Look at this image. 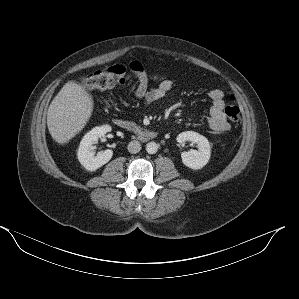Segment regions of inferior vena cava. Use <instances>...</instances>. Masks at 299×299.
I'll return each mask as SVG.
<instances>
[{
	"label": "inferior vena cava",
	"mask_w": 299,
	"mask_h": 299,
	"mask_svg": "<svg viewBox=\"0 0 299 299\" xmlns=\"http://www.w3.org/2000/svg\"><path fill=\"white\" fill-rule=\"evenodd\" d=\"M141 150V144L137 140H132L128 144V151L132 154H136Z\"/></svg>",
	"instance_id": "inferior-vena-cava-1"
}]
</instances>
